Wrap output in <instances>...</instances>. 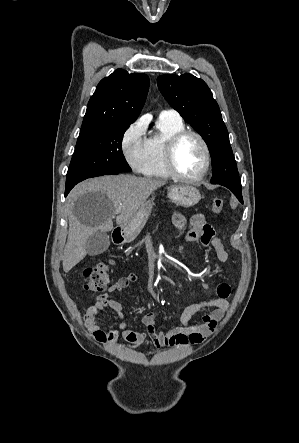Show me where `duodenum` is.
Returning a JSON list of instances; mask_svg holds the SVG:
<instances>
[{"mask_svg":"<svg viewBox=\"0 0 299 443\" xmlns=\"http://www.w3.org/2000/svg\"><path fill=\"white\" fill-rule=\"evenodd\" d=\"M113 241L115 244H121L125 240V236L121 227H117L112 233Z\"/></svg>","mask_w":299,"mask_h":443,"instance_id":"410a0bca","label":"duodenum"}]
</instances>
